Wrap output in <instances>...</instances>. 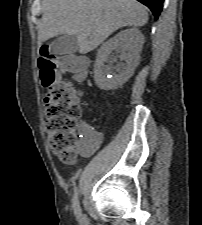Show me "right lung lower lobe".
Wrapping results in <instances>:
<instances>
[{
  "instance_id": "obj_1",
  "label": "right lung lower lobe",
  "mask_w": 202,
  "mask_h": 225,
  "mask_svg": "<svg viewBox=\"0 0 202 225\" xmlns=\"http://www.w3.org/2000/svg\"><path fill=\"white\" fill-rule=\"evenodd\" d=\"M139 2L146 5L155 16V19H158L160 12L162 11L163 1L164 0H138Z\"/></svg>"
}]
</instances>
